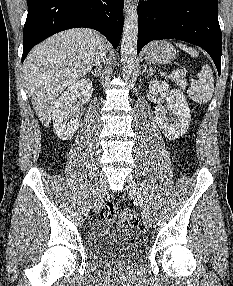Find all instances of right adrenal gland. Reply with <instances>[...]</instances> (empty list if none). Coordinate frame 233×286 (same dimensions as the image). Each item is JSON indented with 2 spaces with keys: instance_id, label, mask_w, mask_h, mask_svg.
I'll use <instances>...</instances> for the list:
<instances>
[{
  "instance_id": "1",
  "label": "right adrenal gland",
  "mask_w": 233,
  "mask_h": 286,
  "mask_svg": "<svg viewBox=\"0 0 233 286\" xmlns=\"http://www.w3.org/2000/svg\"><path fill=\"white\" fill-rule=\"evenodd\" d=\"M89 72H91L94 77L99 78L101 76V69L99 66L95 70H90Z\"/></svg>"
}]
</instances>
